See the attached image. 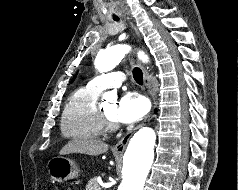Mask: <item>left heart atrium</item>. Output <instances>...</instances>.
<instances>
[{"instance_id": "obj_1", "label": "left heart atrium", "mask_w": 238, "mask_h": 190, "mask_svg": "<svg viewBox=\"0 0 238 190\" xmlns=\"http://www.w3.org/2000/svg\"><path fill=\"white\" fill-rule=\"evenodd\" d=\"M149 110L145 97L135 92L124 94L117 105L116 120L121 123L139 121Z\"/></svg>"}]
</instances>
